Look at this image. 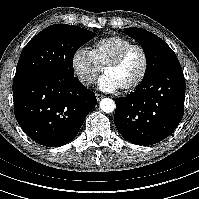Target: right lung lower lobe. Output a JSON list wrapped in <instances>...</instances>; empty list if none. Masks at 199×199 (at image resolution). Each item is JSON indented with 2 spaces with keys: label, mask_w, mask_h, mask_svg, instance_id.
<instances>
[{
  "label": "right lung lower lobe",
  "mask_w": 199,
  "mask_h": 199,
  "mask_svg": "<svg viewBox=\"0 0 199 199\" xmlns=\"http://www.w3.org/2000/svg\"><path fill=\"white\" fill-rule=\"evenodd\" d=\"M14 114L38 144L58 147L78 134L96 105L94 93L73 78L33 75L13 81Z\"/></svg>",
  "instance_id": "obj_1"
}]
</instances>
